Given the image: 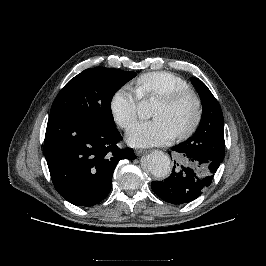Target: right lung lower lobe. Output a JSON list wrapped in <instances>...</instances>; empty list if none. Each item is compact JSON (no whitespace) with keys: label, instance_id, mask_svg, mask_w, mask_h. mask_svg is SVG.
<instances>
[{"label":"right lung lower lobe","instance_id":"obj_1","mask_svg":"<svg viewBox=\"0 0 266 266\" xmlns=\"http://www.w3.org/2000/svg\"><path fill=\"white\" fill-rule=\"evenodd\" d=\"M120 139L114 126L49 116L43 153L57 192L76 206L101 202L111 190L117 163L136 158L133 149L118 148Z\"/></svg>","mask_w":266,"mask_h":266}]
</instances>
